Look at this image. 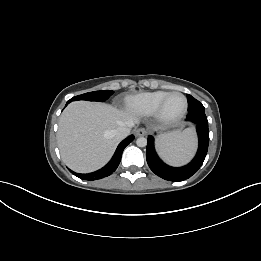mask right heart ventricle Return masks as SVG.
Instances as JSON below:
<instances>
[{
  "label": "right heart ventricle",
  "mask_w": 261,
  "mask_h": 261,
  "mask_svg": "<svg viewBox=\"0 0 261 261\" xmlns=\"http://www.w3.org/2000/svg\"><path fill=\"white\" fill-rule=\"evenodd\" d=\"M168 93L167 91H155L137 94L127 98L126 107L134 114L151 116L155 114L159 103Z\"/></svg>",
  "instance_id": "e07e8e85"
}]
</instances>
